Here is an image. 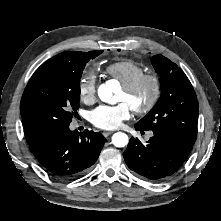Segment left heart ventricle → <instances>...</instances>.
<instances>
[{"mask_svg": "<svg viewBox=\"0 0 221 221\" xmlns=\"http://www.w3.org/2000/svg\"><path fill=\"white\" fill-rule=\"evenodd\" d=\"M150 96V88L148 86L143 87L134 94H128L123 89L118 94L119 102H127L131 108L141 106L145 104Z\"/></svg>", "mask_w": 221, "mask_h": 221, "instance_id": "obj_1", "label": "left heart ventricle"}]
</instances>
